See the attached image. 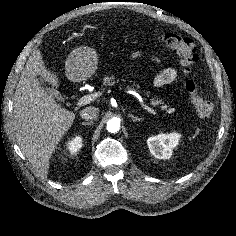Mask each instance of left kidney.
Segmentation results:
<instances>
[{"label":"left kidney","mask_w":236,"mask_h":236,"mask_svg":"<svg viewBox=\"0 0 236 236\" xmlns=\"http://www.w3.org/2000/svg\"><path fill=\"white\" fill-rule=\"evenodd\" d=\"M181 135L173 132L170 134H158L147 139V145L151 154L157 159H169L173 149L178 145Z\"/></svg>","instance_id":"5707ae66"}]
</instances>
